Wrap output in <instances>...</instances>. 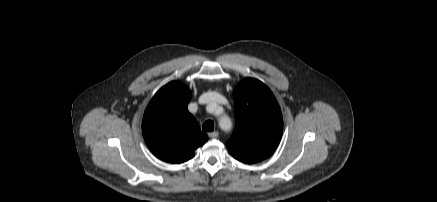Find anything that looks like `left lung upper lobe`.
Instances as JSON below:
<instances>
[{"label": "left lung upper lobe", "instance_id": "obj_1", "mask_svg": "<svg viewBox=\"0 0 437 202\" xmlns=\"http://www.w3.org/2000/svg\"><path fill=\"white\" fill-rule=\"evenodd\" d=\"M236 127L226 142L231 155L244 163L272 155L282 137L280 107L270 89L254 78L242 80L233 91Z\"/></svg>", "mask_w": 437, "mask_h": 202}]
</instances>
